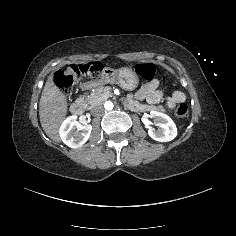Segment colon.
I'll return each instance as SVG.
<instances>
[{
    "mask_svg": "<svg viewBox=\"0 0 236 236\" xmlns=\"http://www.w3.org/2000/svg\"><path fill=\"white\" fill-rule=\"evenodd\" d=\"M102 70L99 63L85 65H69L58 70L54 76V81L58 88L64 93L70 94L82 76L97 78ZM136 73L146 80H151L156 74V67L152 63H140L136 66ZM176 114L184 118L188 114V106L184 103L178 105Z\"/></svg>",
    "mask_w": 236,
    "mask_h": 236,
    "instance_id": "obj_1",
    "label": "colon"
}]
</instances>
